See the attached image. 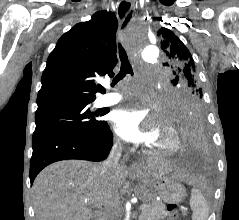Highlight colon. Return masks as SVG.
Returning <instances> with one entry per match:
<instances>
[{
  "label": "colon",
  "mask_w": 239,
  "mask_h": 220,
  "mask_svg": "<svg viewBox=\"0 0 239 220\" xmlns=\"http://www.w3.org/2000/svg\"><path fill=\"white\" fill-rule=\"evenodd\" d=\"M176 204L174 203H167L166 208L172 214L169 220H179L175 215Z\"/></svg>",
  "instance_id": "1"
}]
</instances>
